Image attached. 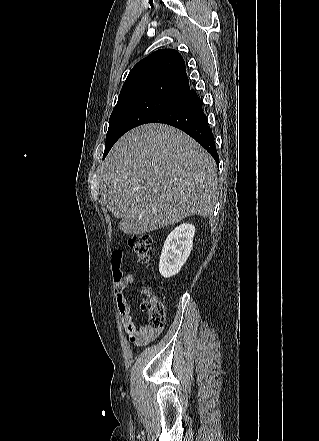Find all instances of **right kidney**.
<instances>
[{"label": "right kidney", "instance_id": "right-kidney-1", "mask_svg": "<svg viewBox=\"0 0 319 441\" xmlns=\"http://www.w3.org/2000/svg\"><path fill=\"white\" fill-rule=\"evenodd\" d=\"M194 234L195 227L192 224H181L169 233L159 261L161 276L170 278L179 273L191 253Z\"/></svg>", "mask_w": 319, "mask_h": 441}]
</instances>
